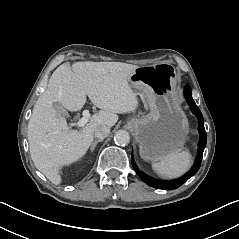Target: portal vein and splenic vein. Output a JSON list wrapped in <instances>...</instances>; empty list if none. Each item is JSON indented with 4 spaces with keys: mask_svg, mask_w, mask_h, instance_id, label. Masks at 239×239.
I'll use <instances>...</instances> for the list:
<instances>
[{
    "mask_svg": "<svg viewBox=\"0 0 239 239\" xmlns=\"http://www.w3.org/2000/svg\"><path fill=\"white\" fill-rule=\"evenodd\" d=\"M82 115H83V117L77 122V125H78L79 127L85 126L86 123L89 121V118H90V113H89L88 110H84V111L82 112Z\"/></svg>",
    "mask_w": 239,
    "mask_h": 239,
    "instance_id": "obj_1",
    "label": "portal vein and splenic vein"
}]
</instances>
